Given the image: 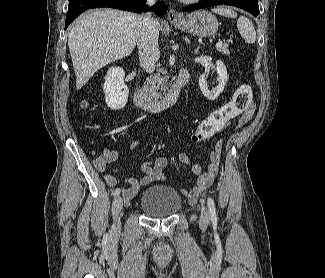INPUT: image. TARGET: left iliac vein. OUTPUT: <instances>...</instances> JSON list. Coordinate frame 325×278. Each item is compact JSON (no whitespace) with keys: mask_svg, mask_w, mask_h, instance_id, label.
I'll list each match as a JSON object with an SVG mask.
<instances>
[{"mask_svg":"<svg viewBox=\"0 0 325 278\" xmlns=\"http://www.w3.org/2000/svg\"><path fill=\"white\" fill-rule=\"evenodd\" d=\"M200 219L203 224H207L209 222V215H208V212H207L205 206L201 207Z\"/></svg>","mask_w":325,"mask_h":278,"instance_id":"obj_1","label":"left iliac vein"}]
</instances>
